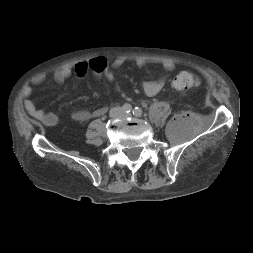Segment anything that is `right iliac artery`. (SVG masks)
I'll use <instances>...</instances> for the list:
<instances>
[{"mask_svg": "<svg viewBox=\"0 0 253 253\" xmlns=\"http://www.w3.org/2000/svg\"><path fill=\"white\" fill-rule=\"evenodd\" d=\"M122 108L126 113H130L132 111V106L130 104H124Z\"/></svg>", "mask_w": 253, "mask_h": 253, "instance_id": "right-iliac-artery-1", "label": "right iliac artery"}]
</instances>
